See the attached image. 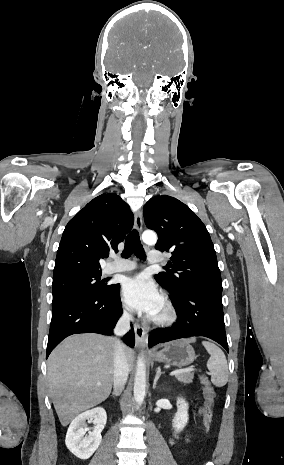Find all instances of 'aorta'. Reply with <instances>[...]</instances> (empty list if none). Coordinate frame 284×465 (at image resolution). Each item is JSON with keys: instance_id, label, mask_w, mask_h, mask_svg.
Wrapping results in <instances>:
<instances>
[{"instance_id": "1", "label": "aorta", "mask_w": 284, "mask_h": 465, "mask_svg": "<svg viewBox=\"0 0 284 465\" xmlns=\"http://www.w3.org/2000/svg\"><path fill=\"white\" fill-rule=\"evenodd\" d=\"M142 240L149 245L157 242V235L155 232L147 230L142 234ZM146 390V367L143 358H138L137 370L134 379V399L137 403V408L141 406L144 400Z\"/></svg>"}]
</instances>
